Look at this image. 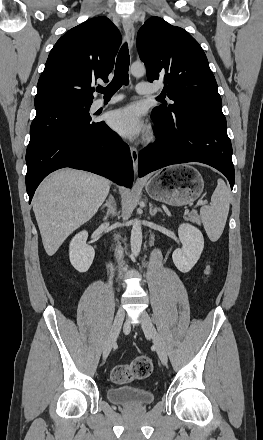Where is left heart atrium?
<instances>
[{
    "label": "left heart atrium",
    "instance_id": "obj_1",
    "mask_svg": "<svg viewBox=\"0 0 263 440\" xmlns=\"http://www.w3.org/2000/svg\"><path fill=\"white\" fill-rule=\"evenodd\" d=\"M108 123L119 135L130 139L138 137L145 131L141 110L135 105L111 112Z\"/></svg>",
    "mask_w": 263,
    "mask_h": 440
}]
</instances>
